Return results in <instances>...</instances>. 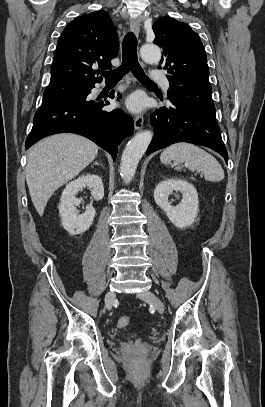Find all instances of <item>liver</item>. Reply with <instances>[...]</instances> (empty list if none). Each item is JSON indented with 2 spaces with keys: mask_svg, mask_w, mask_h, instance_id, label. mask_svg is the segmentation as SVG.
<instances>
[{
  "mask_svg": "<svg viewBox=\"0 0 265 407\" xmlns=\"http://www.w3.org/2000/svg\"><path fill=\"white\" fill-rule=\"evenodd\" d=\"M97 154L95 143L72 133L52 135L30 148L26 182L40 216L54 192L76 177Z\"/></svg>",
  "mask_w": 265,
  "mask_h": 407,
  "instance_id": "1",
  "label": "liver"
}]
</instances>
